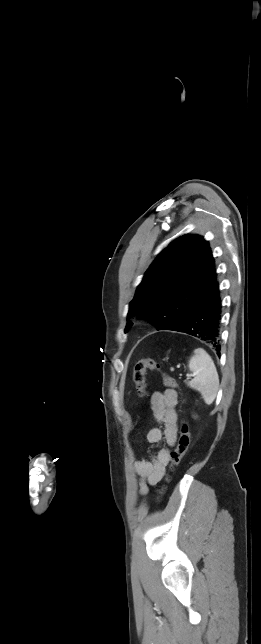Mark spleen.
I'll return each mask as SVG.
<instances>
[{"label": "spleen", "instance_id": "1", "mask_svg": "<svg viewBox=\"0 0 261 644\" xmlns=\"http://www.w3.org/2000/svg\"><path fill=\"white\" fill-rule=\"evenodd\" d=\"M188 368L195 377L186 382L187 385L200 392L206 404H212L219 388V377L213 360L204 349L197 348L189 360Z\"/></svg>", "mask_w": 261, "mask_h": 644}]
</instances>
